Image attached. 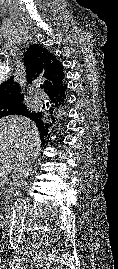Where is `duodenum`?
<instances>
[{
    "label": "duodenum",
    "instance_id": "410a0bca",
    "mask_svg": "<svg viewBox=\"0 0 118 269\" xmlns=\"http://www.w3.org/2000/svg\"><path fill=\"white\" fill-rule=\"evenodd\" d=\"M2 224L5 230H8L11 227L12 224V218L10 215H6L3 220H2Z\"/></svg>",
    "mask_w": 118,
    "mask_h": 269
}]
</instances>
